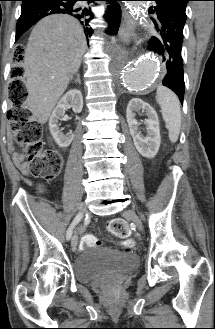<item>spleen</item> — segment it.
Instances as JSON below:
<instances>
[{
	"instance_id": "spleen-1",
	"label": "spleen",
	"mask_w": 215,
	"mask_h": 329,
	"mask_svg": "<svg viewBox=\"0 0 215 329\" xmlns=\"http://www.w3.org/2000/svg\"><path fill=\"white\" fill-rule=\"evenodd\" d=\"M156 100L161 107L162 117L169 131V140L175 143L178 140L181 128L179 99L170 89L159 86L156 92Z\"/></svg>"
}]
</instances>
